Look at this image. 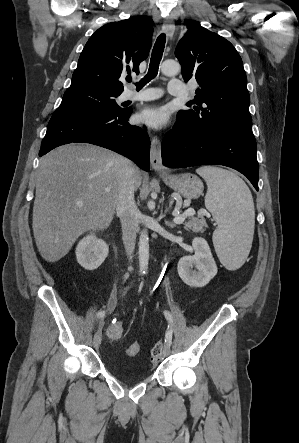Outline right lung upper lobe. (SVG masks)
<instances>
[{
  "label": "right lung upper lobe",
  "instance_id": "cb5924a9",
  "mask_svg": "<svg viewBox=\"0 0 299 443\" xmlns=\"http://www.w3.org/2000/svg\"><path fill=\"white\" fill-rule=\"evenodd\" d=\"M151 43V23L145 16L105 24L86 43L70 87L122 93L120 76L139 72V64L147 58Z\"/></svg>",
  "mask_w": 299,
  "mask_h": 443
}]
</instances>
